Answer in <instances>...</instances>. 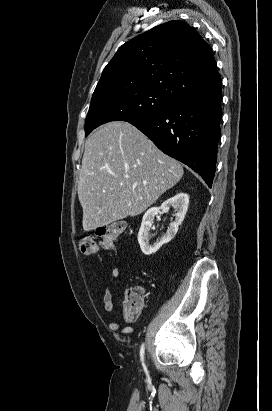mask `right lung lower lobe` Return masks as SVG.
Here are the masks:
<instances>
[{"instance_id": "1", "label": "right lung lower lobe", "mask_w": 272, "mask_h": 411, "mask_svg": "<svg viewBox=\"0 0 272 411\" xmlns=\"http://www.w3.org/2000/svg\"><path fill=\"white\" fill-rule=\"evenodd\" d=\"M222 82L177 100L165 110L130 122L167 155L188 165L211 187L222 118Z\"/></svg>"}]
</instances>
